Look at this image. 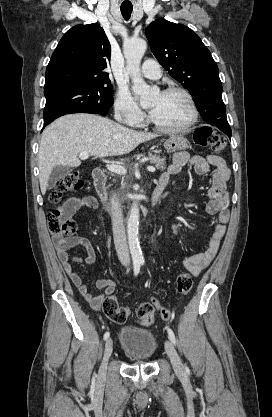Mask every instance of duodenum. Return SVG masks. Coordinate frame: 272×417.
I'll use <instances>...</instances> for the list:
<instances>
[{
    "label": "duodenum",
    "instance_id": "duodenum-1",
    "mask_svg": "<svg viewBox=\"0 0 272 417\" xmlns=\"http://www.w3.org/2000/svg\"><path fill=\"white\" fill-rule=\"evenodd\" d=\"M93 184L96 190L98 197L101 199L102 202L107 203L108 201V193L106 189V169L102 166L97 167L93 171ZM166 182H158L154 190L150 195V203L151 205H155L161 198L162 193L166 187Z\"/></svg>",
    "mask_w": 272,
    "mask_h": 417
}]
</instances>
